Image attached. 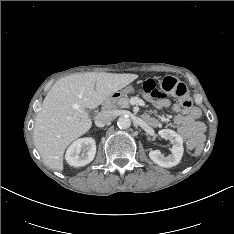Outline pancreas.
<instances>
[{"instance_id": "1", "label": "pancreas", "mask_w": 234, "mask_h": 234, "mask_svg": "<svg viewBox=\"0 0 234 234\" xmlns=\"http://www.w3.org/2000/svg\"><path fill=\"white\" fill-rule=\"evenodd\" d=\"M129 98L128 96L120 98L116 103H106L105 108L106 109H116V108H129Z\"/></svg>"}]
</instances>
